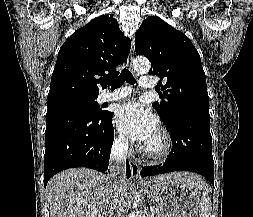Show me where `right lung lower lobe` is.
<instances>
[{
  "label": "right lung lower lobe",
  "instance_id": "1",
  "mask_svg": "<svg viewBox=\"0 0 253 217\" xmlns=\"http://www.w3.org/2000/svg\"><path fill=\"white\" fill-rule=\"evenodd\" d=\"M113 113L68 111L46 118L44 186L56 173L72 167L108 168L114 140ZM127 178L130 166L126 163Z\"/></svg>",
  "mask_w": 253,
  "mask_h": 217
}]
</instances>
